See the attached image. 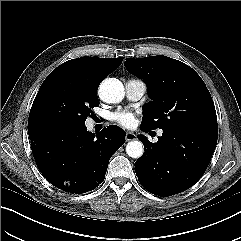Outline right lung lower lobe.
Segmentation results:
<instances>
[{
    "instance_id": "1",
    "label": "right lung lower lobe",
    "mask_w": 241,
    "mask_h": 241,
    "mask_svg": "<svg viewBox=\"0 0 241 241\" xmlns=\"http://www.w3.org/2000/svg\"><path fill=\"white\" fill-rule=\"evenodd\" d=\"M125 135L116 125L94 134L83 124L29 133V138L43 176L59 189L80 194L102 183L109 160L125 143Z\"/></svg>"
}]
</instances>
